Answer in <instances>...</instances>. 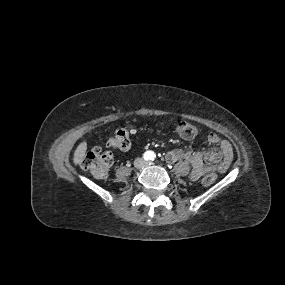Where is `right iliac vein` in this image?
Here are the masks:
<instances>
[{
  "mask_svg": "<svg viewBox=\"0 0 285 285\" xmlns=\"http://www.w3.org/2000/svg\"><path fill=\"white\" fill-rule=\"evenodd\" d=\"M134 165L137 169H141L143 167V161L141 159H138L135 161Z\"/></svg>",
  "mask_w": 285,
  "mask_h": 285,
  "instance_id": "right-iliac-vein-1",
  "label": "right iliac vein"
}]
</instances>
